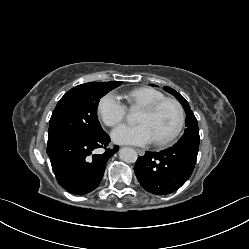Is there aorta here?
I'll return each mask as SVG.
<instances>
[{
  "label": "aorta",
  "instance_id": "762f6f07",
  "mask_svg": "<svg viewBox=\"0 0 249 249\" xmlns=\"http://www.w3.org/2000/svg\"><path fill=\"white\" fill-rule=\"evenodd\" d=\"M119 157L126 163H135L137 160V152L129 147H123L119 150Z\"/></svg>",
  "mask_w": 249,
  "mask_h": 249
}]
</instances>
